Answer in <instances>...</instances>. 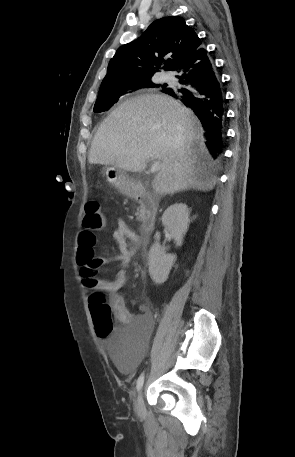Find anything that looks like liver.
I'll return each instance as SVG.
<instances>
[{
  "label": "liver",
  "instance_id": "6515ba94",
  "mask_svg": "<svg viewBox=\"0 0 295 457\" xmlns=\"http://www.w3.org/2000/svg\"><path fill=\"white\" fill-rule=\"evenodd\" d=\"M204 130L192 110L161 94L133 97L113 110L98 128L90 164L141 172L149 160L161 168L153 180L160 195L179 190L210 191L216 184Z\"/></svg>",
  "mask_w": 295,
  "mask_h": 457
}]
</instances>
